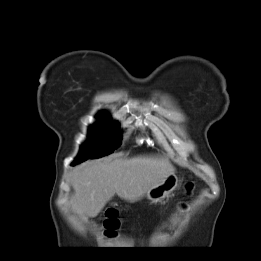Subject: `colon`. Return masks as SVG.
I'll use <instances>...</instances> for the list:
<instances>
[{"label":"colon","instance_id":"1","mask_svg":"<svg viewBox=\"0 0 261 261\" xmlns=\"http://www.w3.org/2000/svg\"><path fill=\"white\" fill-rule=\"evenodd\" d=\"M103 225L108 234L112 235L116 232L119 227V220L115 209L111 208L106 212Z\"/></svg>","mask_w":261,"mask_h":261}]
</instances>
